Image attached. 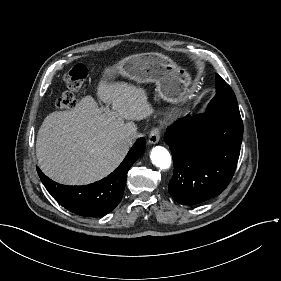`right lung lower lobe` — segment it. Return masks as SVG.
<instances>
[{
    "label": "right lung lower lobe",
    "instance_id": "98d812e1",
    "mask_svg": "<svg viewBox=\"0 0 281 281\" xmlns=\"http://www.w3.org/2000/svg\"><path fill=\"white\" fill-rule=\"evenodd\" d=\"M145 139L137 140L118 168L104 179L83 186L54 182L38 168V174L49 193L66 209L81 216H103L121 201L127 173L145 151Z\"/></svg>",
    "mask_w": 281,
    "mask_h": 281
}]
</instances>
